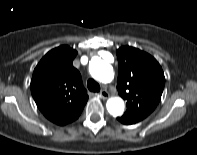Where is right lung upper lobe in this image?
Masks as SVG:
<instances>
[{
	"instance_id": "cb5924a9",
	"label": "right lung upper lobe",
	"mask_w": 197,
	"mask_h": 155,
	"mask_svg": "<svg viewBox=\"0 0 197 155\" xmlns=\"http://www.w3.org/2000/svg\"><path fill=\"white\" fill-rule=\"evenodd\" d=\"M77 51L63 45L49 51L34 69L32 96L43 115L57 125H66L81 114L88 95L72 62Z\"/></svg>"
}]
</instances>
